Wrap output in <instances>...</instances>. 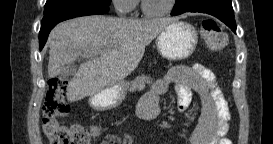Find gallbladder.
I'll return each instance as SVG.
<instances>
[{
    "label": "gallbladder",
    "instance_id": "1",
    "mask_svg": "<svg viewBox=\"0 0 273 144\" xmlns=\"http://www.w3.org/2000/svg\"><path fill=\"white\" fill-rule=\"evenodd\" d=\"M78 70L76 69V65H69L67 68V71H63V76L61 77L63 80H69V76H76V72Z\"/></svg>",
    "mask_w": 273,
    "mask_h": 144
}]
</instances>
